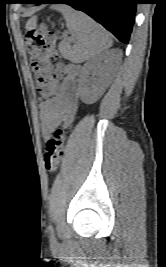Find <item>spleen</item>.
Returning <instances> with one entry per match:
<instances>
[{
  "instance_id": "spleen-1",
  "label": "spleen",
  "mask_w": 166,
  "mask_h": 267,
  "mask_svg": "<svg viewBox=\"0 0 166 267\" xmlns=\"http://www.w3.org/2000/svg\"><path fill=\"white\" fill-rule=\"evenodd\" d=\"M51 8L62 13L68 30L76 39L75 45L68 52L72 62L81 63L92 59L112 46L109 33L85 13L67 5H54Z\"/></svg>"
}]
</instances>
